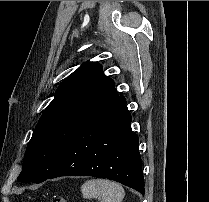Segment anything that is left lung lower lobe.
Listing matches in <instances>:
<instances>
[{"mask_svg": "<svg viewBox=\"0 0 209 202\" xmlns=\"http://www.w3.org/2000/svg\"><path fill=\"white\" fill-rule=\"evenodd\" d=\"M124 96H118L79 128L48 179L69 176L108 178L144 194L139 138L131 130Z\"/></svg>", "mask_w": 209, "mask_h": 202, "instance_id": "1", "label": "left lung lower lobe"}]
</instances>
